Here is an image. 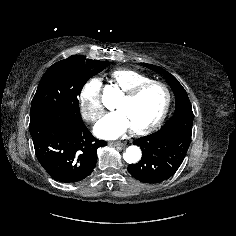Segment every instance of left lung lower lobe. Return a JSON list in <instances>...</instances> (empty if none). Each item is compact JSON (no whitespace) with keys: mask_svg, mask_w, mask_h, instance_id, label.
I'll use <instances>...</instances> for the list:
<instances>
[{"mask_svg":"<svg viewBox=\"0 0 236 236\" xmlns=\"http://www.w3.org/2000/svg\"><path fill=\"white\" fill-rule=\"evenodd\" d=\"M193 111L190 105L176 108L174 115L157 132L133 141L142 158L128 166L129 173L144 183H160L175 174L182 164L192 136Z\"/></svg>","mask_w":236,"mask_h":236,"instance_id":"left-lung-lower-lobe-1","label":"left lung lower lobe"}]
</instances>
